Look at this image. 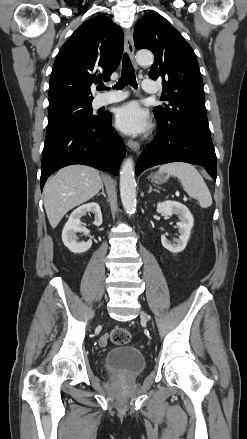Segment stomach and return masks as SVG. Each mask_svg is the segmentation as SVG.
Wrapping results in <instances>:
<instances>
[{"mask_svg":"<svg viewBox=\"0 0 247 439\" xmlns=\"http://www.w3.org/2000/svg\"><path fill=\"white\" fill-rule=\"evenodd\" d=\"M151 179L154 183L161 184L167 181L168 177L162 174H155L151 176Z\"/></svg>","mask_w":247,"mask_h":439,"instance_id":"1","label":"stomach"}]
</instances>
